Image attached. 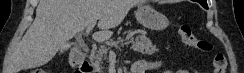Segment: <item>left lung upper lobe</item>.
Masks as SVG:
<instances>
[{
    "instance_id": "left-lung-upper-lobe-1",
    "label": "left lung upper lobe",
    "mask_w": 244,
    "mask_h": 73,
    "mask_svg": "<svg viewBox=\"0 0 244 73\" xmlns=\"http://www.w3.org/2000/svg\"><path fill=\"white\" fill-rule=\"evenodd\" d=\"M198 1V0H197ZM204 8H208V6H207V1L206 0H204V4L202 5Z\"/></svg>"
}]
</instances>
